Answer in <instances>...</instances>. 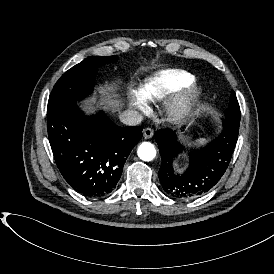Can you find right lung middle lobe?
Returning a JSON list of instances; mask_svg holds the SVG:
<instances>
[{
    "instance_id": "right-lung-middle-lobe-1",
    "label": "right lung middle lobe",
    "mask_w": 274,
    "mask_h": 274,
    "mask_svg": "<svg viewBox=\"0 0 274 274\" xmlns=\"http://www.w3.org/2000/svg\"><path fill=\"white\" fill-rule=\"evenodd\" d=\"M116 60V56H91L66 71L52 89L47 113L50 114L66 104L75 103L91 94L98 67Z\"/></svg>"
}]
</instances>
